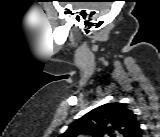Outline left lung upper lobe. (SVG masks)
Instances as JSON below:
<instances>
[{
  "instance_id": "left-lung-upper-lobe-1",
  "label": "left lung upper lobe",
  "mask_w": 160,
  "mask_h": 137,
  "mask_svg": "<svg viewBox=\"0 0 160 137\" xmlns=\"http://www.w3.org/2000/svg\"><path fill=\"white\" fill-rule=\"evenodd\" d=\"M139 128L136 115L121 103H108L73 122L63 137L88 133L94 137H133Z\"/></svg>"
}]
</instances>
